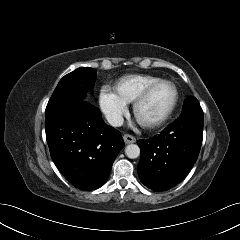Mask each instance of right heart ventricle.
<instances>
[{
  "instance_id": "right-heart-ventricle-1",
  "label": "right heart ventricle",
  "mask_w": 240,
  "mask_h": 240,
  "mask_svg": "<svg viewBox=\"0 0 240 240\" xmlns=\"http://www.w3.org/2000/svg\"><path fill=\"white\" fill-rule=\"evenodd\" d=\"M163 79L152 75H127L120 78L115 84V92L127 104L135 99L149 86Z\"/></svg>"
}]
</instances>
